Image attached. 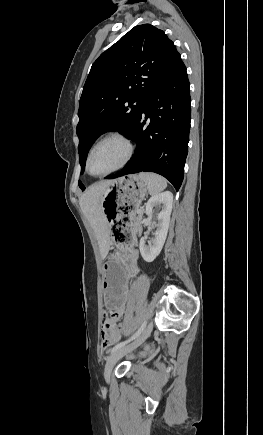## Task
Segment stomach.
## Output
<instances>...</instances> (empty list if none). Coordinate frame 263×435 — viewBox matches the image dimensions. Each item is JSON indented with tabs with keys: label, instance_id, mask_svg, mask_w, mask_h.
<instances>
[{
	"label": "stomach",
	"instance_id": "1",
	"mask_svg": "<svg viewBox=\"0 0 263 435\" xmlns=\"http://www.w3.org/2000/svg\"><path fill=\"white\" fill-rule=\"evenodd\" d=\"M147 185L137 175H128L114 180L101 198L107 233H112L114 247L125 251L133 247L136 224H128L135 218V209L147 193ZM127 256L106 260L103 272V310H118L119 305H128L131 293L128 283H134L138 272L131 270Z\"/></svg>",
	"mask_w": 263,
	"mask_h": 435
}]
</instances>
